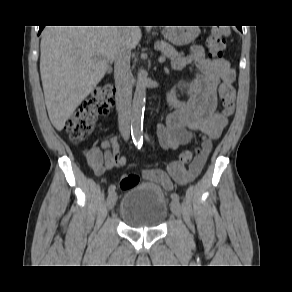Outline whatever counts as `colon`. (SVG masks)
<instances>
[{
	"label": "colon",
	"mask_w": 292,
	"mask_h": 292,
	"mask_svg": "<svg viewBox=\"0 0 292 292\" xmlns=\"http://www.w3.org/2000/svg\"><path fill=\"white\" fill-rule=\"evenodd\" d=\"M227 25H216L209 35L206 45L212 58H222L225 49V37L228 35ZM219 97L222 102V116L229 117L235 109L236 94L235 89L230 83H221L219 86ZM113 106V86L110 83H104L96 87L91 95L85 100L78 111L66 122V131L70 140L74 144H80L85 141L93 132L98 120L106 116ZM200 154L199 149L185 150L181 152L180 164H187ZM139 183V177L136 174L124 175L119 187L127 190Z\"/></svg>",
	"instance_id": "1"
}]
</instances>
